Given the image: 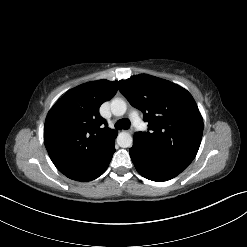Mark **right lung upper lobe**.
<instances>
[{"label": "right lung upper lobe", "mask_w": 247, "mask_h": 247, "mask_svg": "<svg viewBox=\"0 0 247 247\" xmlns=\"http://www.w3.org/2000/svg\"><path fill=\"white\" fill-rule=\"evenodd\" d=\"M117 89L114 81L85 83L68 91L49 111L44 143L52 162L64 175L89 168L112 146L117 131L107 127L99 108Z\"/></svg>", "instance_id": "obj_1"}]
</instances>
